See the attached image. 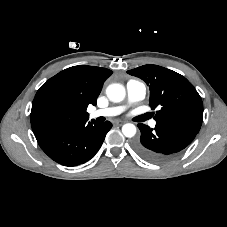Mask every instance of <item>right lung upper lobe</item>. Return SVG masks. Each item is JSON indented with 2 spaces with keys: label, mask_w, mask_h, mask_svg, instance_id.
Returning a JSON list of instances; mask_svg holds the SVG:
<instances>
[{
  "label": "right lung upper lobe",
  "mask_w": 227,
  "mask_h": 227,
  "mask_svg": "<svg viewBox=\"0 0 227 227\" xmlns=\"http://www.w3.org/2000/svg\"><path fill=\"white\" fill-rule=\"evenodd\" d=\"M112 74L106 68L78 65L67 68L47 80L37 91L32 104L31 125L35 137L61 125L87 121L89 104L96 105L103 82ZM46 98L61 102L68 110L64 123L56 126L42 125L36 116L39 104Z\"/></svg>",
  "instance_id": "right-lung-upper-lobe-1"
}]
</instances>
